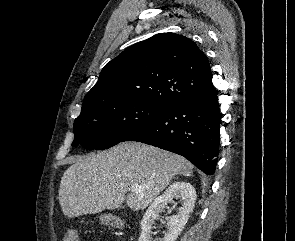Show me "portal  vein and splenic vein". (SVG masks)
I'll list each match as a JSON object with an SVG mask.
<instances>
[{"label":"portal vein and splenic vein","mask_w":295,"mask_h":241,"mask_svg":"<svg viewBox=\"0 0 295 241\" xmlns=\"http://www.w3.org/2000/svg\"><path fill=\"white\" fill-rule=\"evenodd\" d=\"M142 188H144V187H142V186H140V185H138V184H135V185H132V186L130 187V191H131V192H138V191H140Z\"/></svg>","instance_id":"1"}]
</instances>
